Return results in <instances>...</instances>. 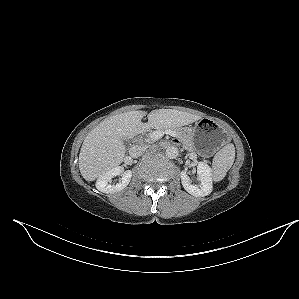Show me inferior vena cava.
<instances>
[{"label": "inferior vena cava", "instance_id": "obj_1", "mask_svg": "<svg viewBox=\"0 0 299 299\" xmlns=\"http://www.w3.org/2000/svg\"><path fill=\"white\" fill-rule=\"evenodd\" d=\"M147 149L146 145H134L129 150V155L133 158L140 157Z\"/></svg>", "mask_w": 299, "mask_h": 299}]
</instances>
